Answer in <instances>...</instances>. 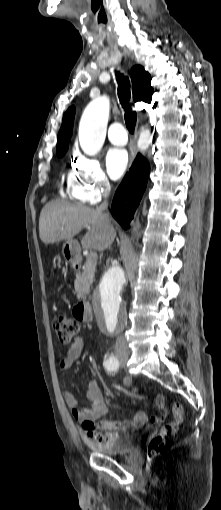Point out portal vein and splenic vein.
<instances>
[{
  "label": "portal vein and splenic vein",
  "instance_id": "18ae733b",
  "mask_svg": "<svg viewBox=\"0 0 221 510\" xmlns=\"http://www.w3.org/2000/svg\"><path fill=\"white\" fill-rule=\"evenodd\" d=\"M97 261V254L95 252H90L86 256V262L88 264H93Z\"/></svg>",
  "mask_w": 221,
  "mask_h": 510
}]
</instances>
